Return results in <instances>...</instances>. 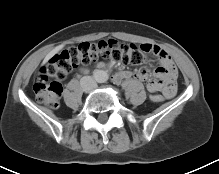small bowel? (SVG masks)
<instances>
[{"label":"small bowel","mask_w":219,"mask_h":174,"mask_svg":"<svg viewBox=\"0 0 219 174\" xmlns=\"http://www.w3.org/2000/svg\"><path fill=\"white\" fill-rule=\"evenodd\" d=\"M141 47L159 57L161 67L155 69L154 76L157 80L148 79L147 71H137L134 75L139 81H145V88L151 93L165 94L167 99L176 93L177 68L169 54L158 45L142 44ZM103 66V65H102ZM132 76L130 71H119L113 76L116 83Z\"/></svg>","instance_id":"obj_1"}]
</instances>
